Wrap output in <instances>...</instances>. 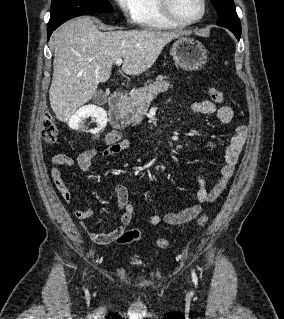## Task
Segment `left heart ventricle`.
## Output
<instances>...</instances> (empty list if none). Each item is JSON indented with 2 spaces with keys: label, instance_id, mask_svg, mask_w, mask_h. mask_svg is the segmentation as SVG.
I'll return each instance as SVG.
<instances>
[{
  "label": "left heart ventricle",
  "instance_id": "left-heart-ventricle-1",
  "mask_svg": "<svg viewBox=\"0 0 284 319\" xmlns=\"http://www.w3.org/2000/svg\"><path fill=\"white\" fill-rule=\"evenodd\" d=\"M173 8L178 17L184 20H193L200 16L202 11L201 0H172Z\"/></svg>",
  "mask_w": 284,
  "mask_h": 319
}]
</instances>
